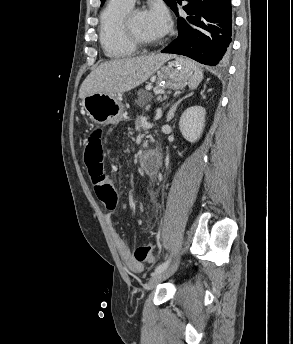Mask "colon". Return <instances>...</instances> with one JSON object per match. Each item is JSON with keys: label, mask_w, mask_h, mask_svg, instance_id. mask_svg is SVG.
Returning <instances> with one entry per match:
<instances>
[{"label": "colon", "mask_w": 293, "mask_h": 344, "mask_svg": "<svg viewBox=\"0 0 293 344\" xmlns=\"http://www.w3.org/2000/svg\"><path fill=\"white\" fill-rule=\"evenodd\" d=\"M104 157L102 131L93 130L87 139L85 162L89 168L96 196L107 209L114 210L118 205V193L111 180L103 173ZM134 258L139 262H152L154 260L153 244L139 245L134 251Z\"/></svg>", "instance_id": "1"}]
</instances>
